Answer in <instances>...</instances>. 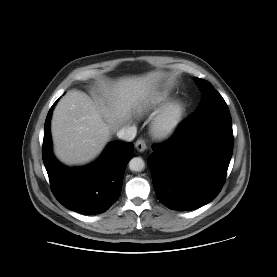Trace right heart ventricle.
Wrapping results in <instances>:
<instances>
[{"mask_svg":"<svg viewBox=\"0 0 277 277\" xmlns=\"http://www.w3.org/2000/svg\"><path fill=\"white\" fill-rule=\"evenodd\" d=\"M169 99L166 92H159L150 96L142 105L140 112L142 114L150 115L163 106Z\"/></svg>","mask_w":277,"mask_h":277,"instance_id":"right-heart-ventricle-1","label":"right heart ventricle"}]
</instances>
